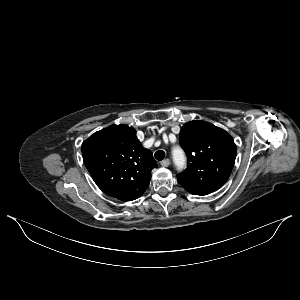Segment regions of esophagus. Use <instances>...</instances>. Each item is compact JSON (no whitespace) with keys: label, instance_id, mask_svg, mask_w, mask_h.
Instances as JSON below:
<instances>
[{"label":"esophagus","instance_id":"esophagus-1","mask_svg":"<svg viewBox=\"0 0 300 300\" xmlns=\"http://www.w3.org/2000/svg\"><path fill=\"white\" fill-rule=\"evenodd\" d=\"M161 166L163 167H168L169 164H170V160L167 158V159H164L160 162Z\"/></svg>","mask_w":300,"mask_h":300}]
</instances>
